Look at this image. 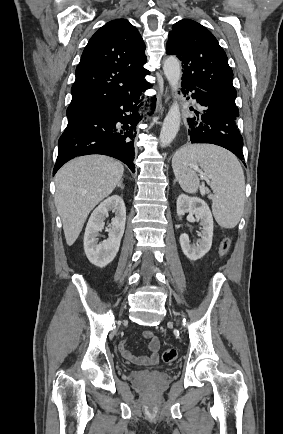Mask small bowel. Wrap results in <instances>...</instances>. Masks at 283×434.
I'll list each match as a JSON object with an SVG mask.
<instances>
[{"label": "small bowel", "mask_w": 283, "mask_h": 434, "mask_svg": "<svg viewBox=\"0 0 283 434\" xmlns=\"http://www.w3.org/2000/svg\"><path fill=\"white\" fill-rule=\"evenodd\" d=\"M142 336L145 339L149 340L148 350L149 355L137 357L133 355L129 350L125 348V342H122L119 346L121 355L126 360L132 362L137 365H156L159 362V348H160V340L151 330H145L142 332Z\"/></svg>", "instance_id": "c3829d8e"}]
</instances>
